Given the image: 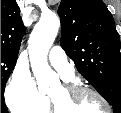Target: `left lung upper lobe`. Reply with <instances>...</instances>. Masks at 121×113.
Returning a JSON list of instances; mask_svg holds the SVG:
<instances>
[{
    "instance_id": "5c2ea615",
    "label": "left lung upper lobe",
    "mask_w": 121,
    "mask_h": 113,
    "mask_svg": "<svg viewBox=\"0 0 121 113\" xmlns=\"http://www.w3.org/2000/svg\"><path fill=\"white\" fill-rule=\"evenodd\" d=\"M61 46L77 70L121 113L120 38L102 0H62Z\"/></svg>"
}]
</instances>
